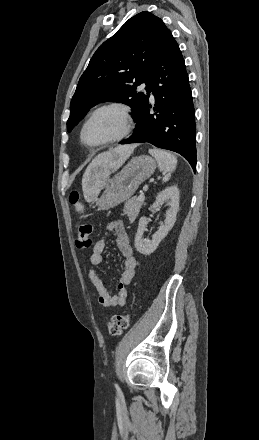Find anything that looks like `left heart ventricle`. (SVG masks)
Masks as SVG:
<instances>
[{"mask_svg":"<svg viewBox=\"0 0 259 440\" xmlns=\"http://www.w3.org/2000/svg\"><path fill=\"white\" fill-rule=\"evenodd\" d=\"M122 131V119L118 111L109 109L95 115L87 124L83 137L88 144L112 139Z\"/></svg>","mask_w":259,"mask_h":440,"instance_id":"left-heart-ventricle-1","label":"left heart ventricle"}]
</instances>
